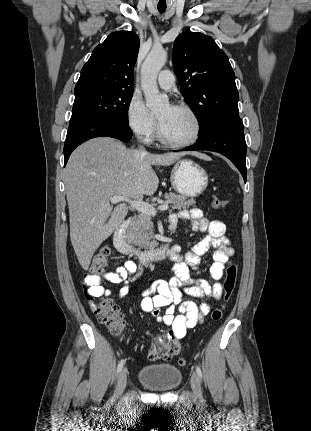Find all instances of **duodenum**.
<instances>
[{
    "instance_id": "obj_1",
    "label": "duodenum",
    "mask_w": 311,
    "mask_h": 431,
    "mask_svg": "<svg viewBox=\"0 0 311 431\" xmlns=\"http://www.w3.org/2000/svg\"><path fill=\"white\" fill-rule=\"evenodd\" d=\"M130 222V218L122 220L114 232L113 244L119 252L135 257L142 264L162 261L171 254V248L168 244L145 250L137 249L127 239Z\"/></svg>"
}]
</instances>
